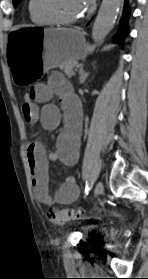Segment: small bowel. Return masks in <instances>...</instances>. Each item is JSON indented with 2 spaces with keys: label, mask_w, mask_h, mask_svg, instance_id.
<instances>
[{
  "label": "small bowel",
  "mask_w": 148,
  "mask_h": 279,
  "mask_svg": "<svg viewBox=\"0 0 148 279\" xmlns=\"http://www.w3.org/2000/svg\"><path fill=\"white\" fill-rule=\"evenodd\" d=\"M33 100L22 105V113L30 124L40 123L46 130L59 127L62 117L65 125L59 134L55 150L47 154L40 142L28 146L27 159L32 177L35 197L46 204H70L80 194L79 186L73 176H69L58 187L53 197L49 195L48 163L60 161L67 166L74 165L79 156L80 134L82 128V108L72 93L70 83L59 73L52 75L48 83H39L32 87ZM59 98L61 108L49 103L53 96ZM42 107H39V105Z\"/></svg>",
  "instance_id": "c3829d8e"
}]
</instances>
